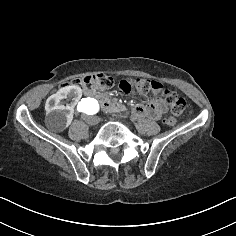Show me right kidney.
I'll return each mask as SVG.
<instances>
[{"instance_id":"1","label":"right kidney","mask_w":236,"mask_h":236,"mask_svg":"<svg viewBox=\"0 0 236 236\" xmlns=\"http://www.w3.org/2000/svg\"><path fill=\"white\" fill-rule=\"evenodd\" d=\"M81 95V88L77 85L63 87L51 95L47 102L49 112L44 119L45 128L50 132H59L68 128L73 121V109L78 105Z\"/></svg>"}]
</instances>
